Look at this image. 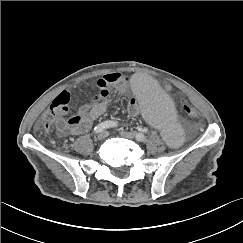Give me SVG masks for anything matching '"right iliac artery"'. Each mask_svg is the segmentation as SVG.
<instances>
[{"label":"right iliac artery","mask_w":243,"mask_h":243,"mask_svg":"<svg viewBox=\"0 0 243 243\" xmlns=\"http://www.w3.org/2000/svg\"><path fill=\"white\" fill-rule=\"evenodd\" d=\"M117 126H118V122H116V121H110V120L109 121H104V122L98 124L94 128L93 132L97 134V133H100V132L104 131L105 129L112 128V127H117Z\"/></svg>","instance_id":"right-iliac-artery-1"}]
</instances>
